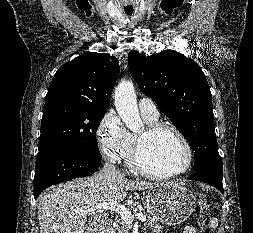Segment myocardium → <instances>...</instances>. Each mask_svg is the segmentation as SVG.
<instances>
[{
  "label": "myocardium",
  "instance_id": "obj_1",
  "mask_svg": "<svg viewBox=\"0 0 253 233\" xmlns=\"http://www.w3.org/2000/svg\"><path fill=\"white\" fill-rule=\"evenodd\" d=\"M162 131H169L176 135V137L181 141L183 144L185 151H186V163L185 165L176 171H152L148 169L141 157L142 148L144 145V140L148 136H153L157 133H160ZM132 162L135 170H137L139 173H141L144 176L151 177V178H171V177H177L181 176L189 171V169L192 166L193 163V149L186 138V136L183 134V132L178 129L176 126L164 122H154L151 124H148L146 129L144 130L143 134H140L136 137L135 146L132 154Z\"/></svg>",
  "mask_w": 253,
  "mask_h": 233
}]
</instances>
